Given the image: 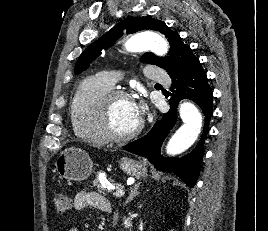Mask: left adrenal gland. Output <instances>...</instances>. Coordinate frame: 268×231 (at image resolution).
<instances>
[{"mask_svg": "<svg viewBox=\"0 0 268 231\" xmlns=\"http://www.w3.org/2000/svg\"><path fill=\"white\" fill-rule=\"evenodd\" d=\"M140 184H141V182H138L137 184H135V185L131 188V190H130V194H129L128 198L126 199V201H125V203H124V206H125L126 204H128L129 202H131V201H132V200L139 194V192H138V188H139Z\"/></svg>", "mask_w": 268, "mask_h": 231, "instance_id": "a2214340", "label": "left adrenal gland"}]
</instances>
